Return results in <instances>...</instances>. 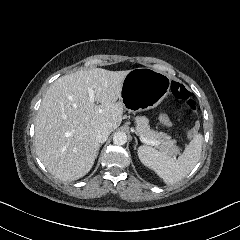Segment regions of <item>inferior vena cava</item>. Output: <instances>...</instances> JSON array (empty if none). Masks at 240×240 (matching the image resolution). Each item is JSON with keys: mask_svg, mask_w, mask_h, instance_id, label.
Wrapping results in <instances>:
<instances>
[{"mask_svg": "<svg viewBox=\"0 0 240 240\" xmlns=\"http://www.w3.org/2000/svg\"><path fill=\"white\" fill-rule=\"evenodd\" d=\"M110 135V131L107 129H99L96 134V141L99 143H104L108 136Z\"/></svg>", "mask_w": 240, "mask_h": 240, "instance_id": "obj_1", "label": "inferior vena cava"}]
</instances>
